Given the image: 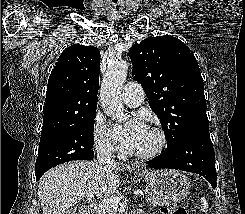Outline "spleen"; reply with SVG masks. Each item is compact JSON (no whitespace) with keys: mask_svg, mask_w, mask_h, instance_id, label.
Instances as JSON below:
<instances>
[{"mask_svg":"<svg viewBox=\"0 0 245 214\" xmlns=\"http://www.w3.org/2000/svg\"><path fill=\"white\" fill-rule=\"evenodd\" d=\"M209 209L208 202L205 197L201 198V211L207 212Z\"/></svg>","mask_w":245,"mask_h":214,"instance_id":"spleen-1","label":"spleen"}]
</instances>
